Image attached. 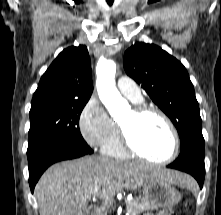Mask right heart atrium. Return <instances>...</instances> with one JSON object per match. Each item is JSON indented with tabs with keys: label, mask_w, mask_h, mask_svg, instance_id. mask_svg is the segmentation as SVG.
Instances as JSON below:
<instances>
[{
	"label": "right heart atrium",
	"mask_w": 221,
	"mask_h": 215,
	"mask_svg": "<svg viewBox=\"0 0 221 215\" xmlns=\"http://www.w3.org/2000/svg\"><path fill=\"white\" fill-rule=\"evenodd\" d=\"M114 129V121L101 102L91 97L79 117V130L83 139L91 146H102L112 137Z\"/></svg>",
	"instance_id": "right-heart-atrium-1"
}]
</instances>
